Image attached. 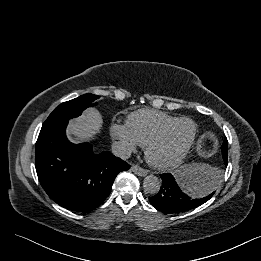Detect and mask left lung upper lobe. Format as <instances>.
<instances>
[{
    "label": "left lung upper lobe",
    "instance_id": "5c2ea615",
    "mask_svg": "<svg viewBox=\"0 0 261 261\" xmlns=\"http://www.w3.org/2000/svg\"><path fill=\"white\" fill-rule=\"evenodd\" d=\"M221 148H222V151H223L222 154L228 152L227 151L228 150V141H227L226 138L224 139V142H223V145H222Z\"/></svg>",
    "mask_w": 261,
    "mask_h": 261
}]
</instances>
